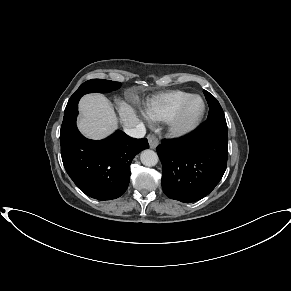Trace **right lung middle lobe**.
Wrapping results in <instances>:
<instances>
[{"instance_id": "obj_1", "label": "right lung middle lobe", "mask_w": 291, "mask_h": 291, "mask_svg": "<svg viewBox=\"0 0 291 291\" xmlns=\"http://www.w3.org/2000/svg\"><path fill=\"white\" fill-rule=\"evenodd\" d=\"M120 86L121 84L119 82H114L110 80L92 79L86 81L83 84H81L78 90L71 96L64 113L72 115L74 113L73 104L78 103L79 99L84 94L92 92L107 93L118 89Z\"/></svg>"}]
</instances>
